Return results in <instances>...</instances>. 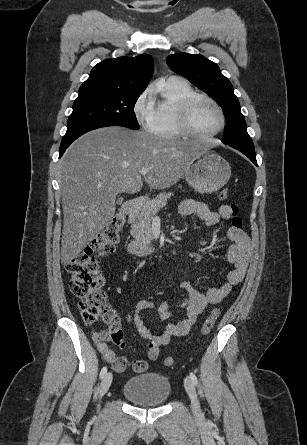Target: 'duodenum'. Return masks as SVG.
<instances>
[{"label":"duodenum","instance_id":"1","mask_svg":"<svg viewBox=\"0 0 307 445\" xmlns=\"http://www.w3.org/2000/svg\"><path fill=\"white\" fill-rule=\"evenodd\" d=\"M145 201V197L128 200L123 206V212L132 219L136 216ZM127 250L130 254L138 256H147L158 252L157 248L136 240L128 241Z\"/></svg>","mask_w":307,"mask_h":445}]
</instances>
